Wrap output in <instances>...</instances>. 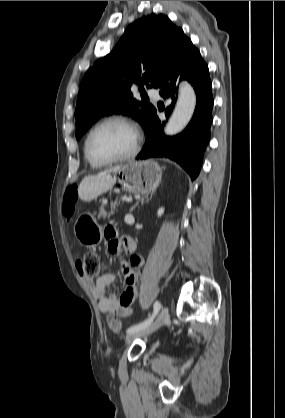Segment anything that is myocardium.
Wrapping results in <instances>:
<instances>
[{
  "instance_id": "1",
  "label": "myocardium",
  "mask_w": 285,
  "mask_h": 418,
  "mask_svg": "<svg viewBox=\"0 0 285 418\" xmlns=\"http://www.w3.org/2000/svg\"><path fill=\"white\" fill-rule=\"evenodd\" d=\"M108 124H120L123 126L128 127L129 129H131L134 133L135 136V140H134V145L132 147V149L119 157H114V158H108V159H98L95 158L89 149V142L90 139L92 137V135L101 127L108 125ZM139 146H140V136H139V132L137 130V128L135 127V125L130 122L129 120L123 118V117H118V116H114V117H109L106 119L101 120L100 122H98L97 124H95L89 131V133L87 134L85 141H84V153L86 158L88 159V161L94 165L97 166H105V165H110V164H114V163H119V162H123L126 160H129L131 158H133L138 150H139Z\"/></svg>"
}]
</instances>
